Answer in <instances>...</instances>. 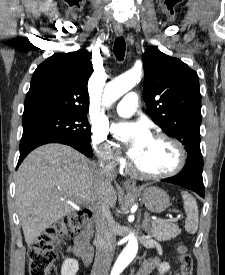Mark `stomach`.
Returning <instances> with one entry per match:
<instances>
[{
	"mask_svg": "<svg viewBox=\"0 0 225 275\" xmlns=\"http://www.w3.org/2000/svg\"><path fill=\"white\" fill-rule=\"evenodd\" d=\"M142 200L145 207L153 213H161L170 205L168 194L158 187H147L143 190Z\"/></svg>",
	"mask_w": 225,
	"mask_h": 275,
	"instance_id": "obj_1",
	"label": "stomach"
}]
</instances>
